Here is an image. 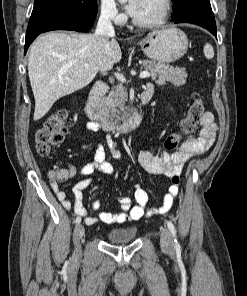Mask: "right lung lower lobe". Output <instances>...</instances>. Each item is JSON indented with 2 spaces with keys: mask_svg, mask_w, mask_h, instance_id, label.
<instances>
[{
  "mask_svg": "<svg viewBox=\"0 0 247 296\" xmlns=\"http://www.w3.org/2000/svg\"><path fill=\"white\" fill-rule=\"evenodd\" d=\"M96 12H75L69 2L65 1L34 14H31L24 54L33 40L43 32L52 30L87 31L93 25Z\"/></svg>",
  "mask_w": 247,
  "mask_h": 296,
  "instance_id": "obj_1",
  "label": "right lung lower lobe"
}]
</instances>
